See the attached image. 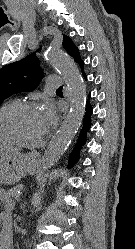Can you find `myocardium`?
<instances>
[{"label": "myocardium", "instance_id": "f54148a6", "mask_svg": "<svg viewBox=\"0 0 135 249\" xmlns=\"http://www.w3.org/2000/svg\"><path fill=\"white\" fill-rule=\"evenodd\" d=\"M11 109H37V105L35 103L29 102V101L10 102V103H8L0 108V118L7 111H9ZM45 134H46V132H44L43 135L39 139L29 142V141H24V140L18 139L16 137H14L13 135L4 134L0 129V139L2 141L7 142L9 144H15V145L27 147V148H34V147L39 146L43 142V140L45 138Z\"/></svg>", "mask_w": 135, "mask_h": 249}]
</instances>
